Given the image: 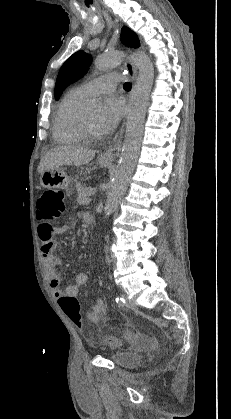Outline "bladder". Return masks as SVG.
Segmentation results:
<instances>
[{
	"label": "bladder",
	"mask_w": 231,
	"mask_h": 419,
	"mask_svg": "<svg viewBox=\"0 0 231 419\" xmlns=\"http://www.w3.org/2000/svg\"><path fill=\"white\" fill-rule=\"evenodd\" d=\"M108 358L117 366L123 368H129L139 365L142 362L143 357L140 354L114 350L109 353Z\"/></svg>",
	"instance_id": "31cf9c89"
}]
</instances>
